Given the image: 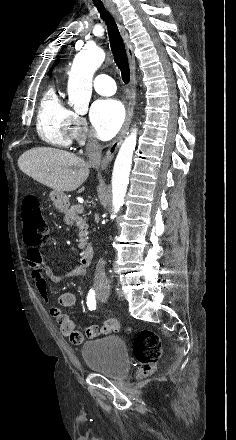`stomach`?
<instances>
[{"instance_id":"obj_1","label":"stomach","mask_w":236,"mask_h":440,"mask_svg":"<svg viewBox=\"0 0 236 440\" xmlns=\"http://www.w3.org/2000/svg\"><path fill=\"white\" fill-rule=\"evenodd\" d=\"M50 199L59 212H66L69 207V199L62 191L53 190L50 193Z\"/></svg>"}]
</instances>
